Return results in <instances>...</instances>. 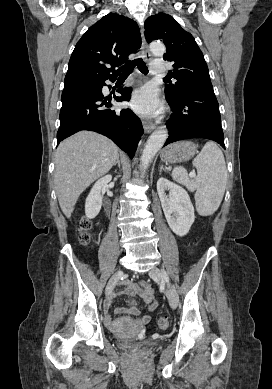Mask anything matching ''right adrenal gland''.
<instances>
[{
    "label": "right adrenal gland",
    "mask_w": 272,
    "mask_h": 389,
    "mask_svg": "<svg viewBox=\"0 0 272 389\" xmlns=\"http://www.w3.org/2000/svg\"><path fill=\"white\" fill-rule=\"evenodd\" d=\"M117 164H118V167L120 168L121 162H120V157H119V155H118L117 161H116V163H115L114 165H117Z\"/></svg>",
    "instance_id": "right-adrenal-gland-1"
}]
</instances>
